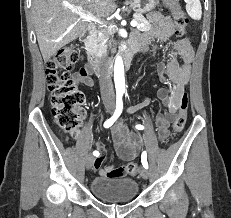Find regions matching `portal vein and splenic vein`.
Masks as SVG:
<instances>
[{"label":"portal vein and splenic vein","instance_id":"18ae733b","mask_svg":"<svg viewBox=\"0 0 231 218\" xmlns=\"http://www.w3.org/2000/svg\"><path fill=\"white\" fill-rule=\"evenodd\" d=\"M70 9L73 12L79 14V16L81 18H83V19H85L87 21L91 20V21H94V22H97V23H101V20L97 16H95L94 14H92V13H84L83 8L81 6H71ZM130 24H131L132 27H136L138 25L136 20H132Z\"/></svg>","mask_w":231,"mask_h":218}]
</instances>
